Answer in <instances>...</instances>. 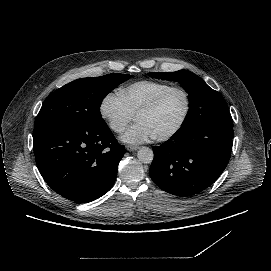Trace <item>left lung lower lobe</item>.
<instances>
[{
    "instance_id": "0a47b994",
    "label": "left lung lower lobe",
    "mask_w": 271,
    "mask_h": 271,
    "mask_svg": "<svg viewBox=\"0 0 271 271\" xmlns=\"http://www.w3.org/2000/svg\"><path fill=\"white\" fill-rule=\"evenodd\" d=\"M233 121L208 120L178 130L153 147L149 174L162 190L181 197L212 185L227 166L233 145Z\"/></svg>"
}]
</instances>
